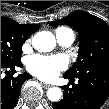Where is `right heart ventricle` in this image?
Listing matches in <instances>:
<instances>
[{"label": "right heart ventricle", "mask_w": 109, "mask_h": 109, "mask_svg": "<svg viewBox=\"0 0 109 109\" xmlns=\"http://www.w3.org/2000/svg\"><path fill=\"white\" fill-rule=\"evenodd\" d=\"M64 30H69V29L66 28V27H59V28L56 30V33L60 32V31H64Z\"/></svg>", "instance_id": "obj_1"}]
</instances>
